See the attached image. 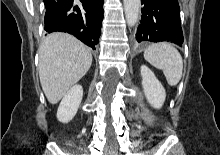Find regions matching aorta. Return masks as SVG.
I'll list each match as a JSON object with an SVG mask.
<instances>
[{
    "label": "aorta",
    "instance_id": "762f6f07",
    "mask_svg": "<svg viewBox=\"0 0 220 155\" xmlns=\"http://www.w3.org/2000/svg\"><path fill=\"white\" fill-rule=\"evenodd\" d=\"M125 17L128 26H134L139 18L140 0H123Z\"/></svg>",
    "mask_w": 220,
    "mask_h": 155
}]
</instances>
